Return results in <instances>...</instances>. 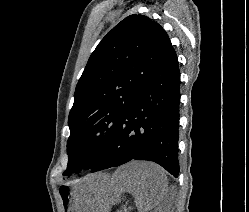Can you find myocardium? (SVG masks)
I'll return each instance as SVG.
<instances>
[{
    "mask_svg": "<svg viewBox=\"0 0 249 212\" xmlns=\"http://www.w3.org/2000/svg\"><path fill=\"white\" fill-rule=\"evenodd\" d=\"M101 152V147L97 144L88 146L83 153L84 158L92 159L98 156Z\"/></svg>",
    "mask_w": 249,
    "mask_h": 212,
    "instance_id": "obj_1",
    "label": "myocardium"
}]
</instances>
